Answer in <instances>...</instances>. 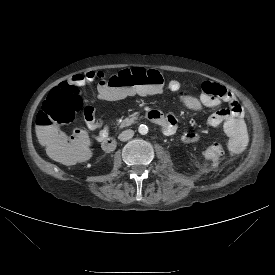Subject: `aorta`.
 <instances>
[{
    "mask_svg": "<svg viewBox=\"0 0 275 275\" xmlns=\"http://www.w3.org/2000/svg\"><path fill=\"white\" fill-rule=\"evenodd\" d=\"M138 132L141 134V135H145L148 133V127L144 124H141L139 127H138Z\"/></svg>",
    "mask_w": 275,
    "mask_h": 275,
    "instance_id": "obj_1",
    "label": "aorta"
}]
</instances>
